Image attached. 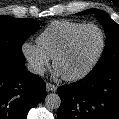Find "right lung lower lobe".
<instances>
[{
  "instance_id": "obj_1",
  "label": "right lung lower lobe",
  "mask_w": 119,
  "mask_h": 119,
  "mask_svg": "<svg viewBox=\"0 0 119 119\" xmlns=\"http://www.w3.org/2000/svg\"><path fill=\"white\" fill-rule=\"evenodd\" d=\"M44 98V81L24 62H0V119H26Z\"/></svg>"
}]
</instances>
